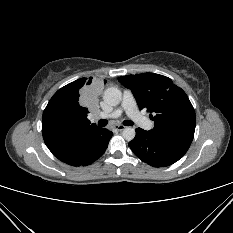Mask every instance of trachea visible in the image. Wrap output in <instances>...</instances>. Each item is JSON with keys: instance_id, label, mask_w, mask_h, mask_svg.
I'll return each mask as SVG.
<instances>
[{"instance_id": "3493384b", "label": "trachea", "mask_w": 233, "mask_h": 233, "mask_svg": "<svg viewBox=\"0 0 233 233\" xmlns=\"http://www.w3.org/2000/svg\"><path fill=\"white\" fill-rule=\"evenodd\" d=\"M108 124V121L107 120H99L98 121V125L101 126V127H105L106 125ZM123 124L125 126H132L133 125V122L131 120H125L123 121Z\"/></svg>"}]
</instances>
